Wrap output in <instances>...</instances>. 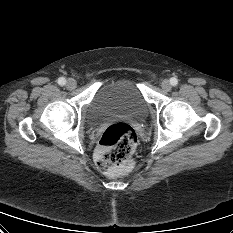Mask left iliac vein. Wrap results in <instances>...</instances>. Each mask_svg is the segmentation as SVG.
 I'll return each instance as SVG.
<instances>
[{
    "label": "left iliac vein",
    "mask_w": 233,
    "mask_h": 233,
    "mask_svg": "<svg viewBox=\"0 0 233 233\" xmlns=\"http://www.w3.org/2000/svg\"><path fill=\"white\" fill-rule=\"evenodd\" d=\"M161 87L165 91H170L172 88L170 81L167 79L162 81Z\"/></svg>",
    "instance_id": "4c4485c4"
}]
</instances>
